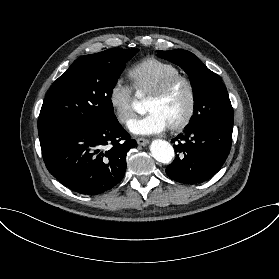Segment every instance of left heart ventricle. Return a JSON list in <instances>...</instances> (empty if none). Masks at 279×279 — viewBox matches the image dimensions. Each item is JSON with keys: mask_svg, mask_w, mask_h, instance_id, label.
<instances>
[{"mask_svg": "<svg viewBox=\"0 0 279 279\" xmlns=\"http://www.w3.org/2000/svg\"><path fill=\"white\" fill-rule=\"evenodd\" d=\"M189 105V90L185 83L181 82L172 88L169 93L161 99L148 98L147 110L160 113L169 125L175 124L183 119Z\"/></svg>", "mask_w": 279, "mask_h": 279, "instance_id": "obj_1", "label": "left heart ventricle"}]
</instances>
